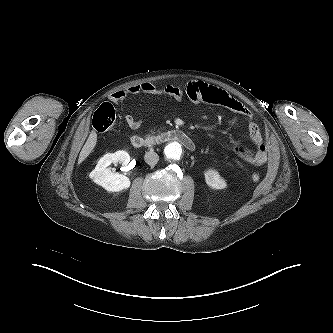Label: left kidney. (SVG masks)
Wrapping results in <instances>:
<instances>
[{"label":"left kidney","instance_id":"5707ae66","mask_svg":"<svg viewBox=\"0 0 333 333\" xmlns=\"http://www.w3.org/2000/svg\"><path fill=\"white\" fill-rule=\"evenodd\" d=\"M206 184L215 190L224 189L227 186L226 181L219 175L216 170H207L204 172Z\"/></svg>","mask_w":333,"mask_h":333}]
</instances>
